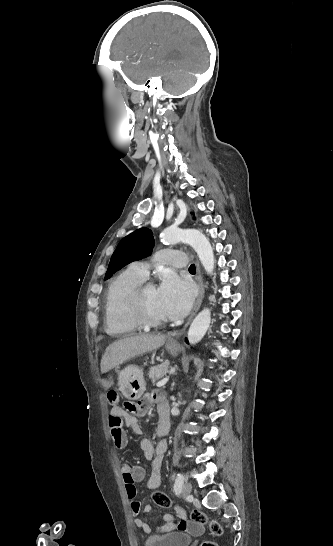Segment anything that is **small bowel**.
Instances as JSON below:
<instances>
[{
	"mask_svg": "<svg viewBox=\"0 0 333 546\" xmlns=\"http://www.w3.org/2000/svg\"><path fill=\"white\" fill-rule=\"evenodd\" d=\"M108 375L103 380L102 385L104 388L109 389L114 386V381L110 379ZM156 406L159 416L157 436L158 442L156 445L150 439L144 438L140 440V448L146 459L151 460V473L148 479V486L150 488H158L162 483L161 466L164 454L167 450V441L165 436L169 431V417H168V403L166 398L162 394L147 393L136 404H132V407H128V411L120 408L113 407L108 416L109 431L114 442V445L118 449H123L126 446L127 438L122 428L123 424L127 425L136 434L142 433V428L138 422L137 417L143 416L153 406ZM124 487L128 498L131 500V510L134 515H138L141 511V504L135 500L136 497V483L144 479L145 471L140 466H131L130 464L122 461L120 466ZM152 511L151 506L145 505L142 508L144 514H149ZM177 515L181 518V522L177 523L171 514L164 515V524L157 527L158 533L170 532L177 527L179 529H185L188 526L192 530H196L198 525L190 524L186 522V513L184 510L178 508ZM135 525L141 528L144 532H150V526L141 518L135 519Z\"/></svg>",
	"mask_w": 333,
	"mask_h": 546,
	"instance_id": "1",
	"label": "small bowel"
}]
</instances>
